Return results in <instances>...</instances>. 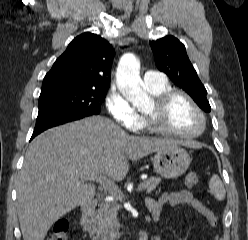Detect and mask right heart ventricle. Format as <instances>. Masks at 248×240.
Segmentation results:
<instances>
[{"instance_id":"obj_1","label":"right heart ventricle","mask_w":248,"mask_h":240,"mask_svg":"<svg viewBox=\"0 0 248 240\" xmlns=\"http://www.w3.org/2000/svg\"><path fill=\"white\" fill-rule=\"evenodd\" d=\"M146 89L148 90V92L153 95L156 96L166 90L171 89V85L168 81L162 83V84H156V85H145Z\"/></svg>"}]
</instances>
